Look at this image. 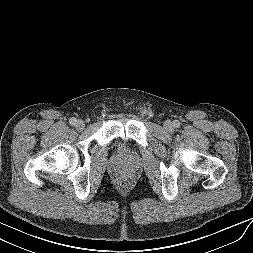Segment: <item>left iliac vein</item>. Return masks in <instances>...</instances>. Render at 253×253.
<instances>
[{
    "mask_svg": "<svg viewBox=\"0 0 253 253\" xmlns=\"http://www.w3.org/2000/svg\"><path fill=\"white\" fill-rule=\"evenodd\" d=\"M164 129L167 131V132H172L174 130V126L172 124L171 121L167 120L164 122Z\"/></svg>",
    "mask_w": 253,
    "mask_h": 253,
    "instance_id": "1",
    "label": "left iliac vein"
}]
</instances>
